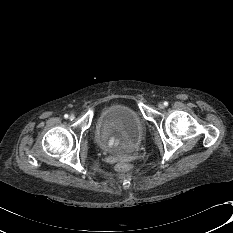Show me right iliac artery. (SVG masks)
I'll return each mask as SVG.
<instances>
[{
	"mask_svg": "<svg viewBox=\"0 0 233 233\" xmlns=\"http://www.w3.org/2000/svg\"><path fill=\"white\" fill-rule=\"evenodd\" d=\"M64 118L67 119V118H68V114H65V115H64Z\"/></svg>",
	"mask_w": 233,
	"mask_h": 233,
	"instance_id": "obj_1",
	"label": "right iliac artery"
}]
</instances>
